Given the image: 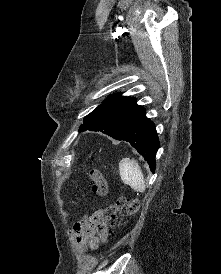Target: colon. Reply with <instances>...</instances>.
I'll return each mask as SVG.
<instances>
[{
  "mask_svg": "<svg viewBox=\"0 0 221 274\" xmlns=\"http://www.w3.org/2000/svg\"><path fill=\"white\" fill-rule=\"evenodd\" d=\"M89 177L93 184V192L98 195H105L107 193V184L102 173L96 169H91ZM138 208V200L126 197L118 198L114 204L105 208L99 226V237L101 241L106 243L113 236L112 223L114 220L131 216L137 212Z\"/></svg>",
  "mask_w": 221,
  "mask_h": 274,
  "instance_id": "colon-1",
  "label": "colon"
}]
</instances>
